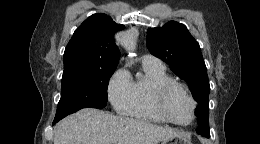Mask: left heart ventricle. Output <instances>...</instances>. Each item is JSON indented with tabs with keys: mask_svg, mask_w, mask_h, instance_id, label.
Instances as JSON below:
<instances>
[{
	"mask_svg": "<svg viewBox=\"0 0 260 144\" xmlns=\"http://www.w3.org/2000/svg\"><path fill=\"white\" fill-rule=\"evenodd\" d=\"M168 114L178 122H187L192 115V105L186 94L176 89L172 91L165 102Z\"/></svg>",
	"mask_w": 260,
	"mask_h": 144,
	"instance_id": "b2bd125f",
	"label": "left heart ventricle"
}]
</instances>
